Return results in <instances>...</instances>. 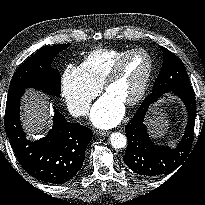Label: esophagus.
<instances>
[{
    "mask_svg": "<svg viewBox=\"0 0 205 205\" xmlns=\"http://www.w3.org/2000/svg\"><path fill=\"white\" fill-rule=\"evenodd\" d=\"M98 134L102 137L108 136L110 134V132L108 131H99Z\"/></svg>",
    "mask_w": 205,
    "mask_h": 205,
    "instance_id": "esophagus-1",
    "label": "esophagus"
}]
</instances>
